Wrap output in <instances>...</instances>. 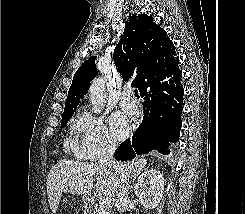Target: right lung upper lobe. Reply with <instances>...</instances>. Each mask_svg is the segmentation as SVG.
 <instances>
[{
    "mask_svg": "<svg viewBox=\"0 0 245 214\" xmlns=\"http://www.w3.org/2000/svg\"><path fill=\"white\" fill-rule=\"evenodd\" d=\"M95 58L90 57L75 73L63 115L73 113L87 93L88 85L97 73ZM113 59L123 80L132 78V84L140 92L153 69L179 62L174 45L165 30L145 14L134 15L127 20Z\"/></svg>",
    "mask_w": 245,
    "mask_h": 214,
    "instance_id": "1",
    "label": "right lung upper lobe"
}]
</instances>
